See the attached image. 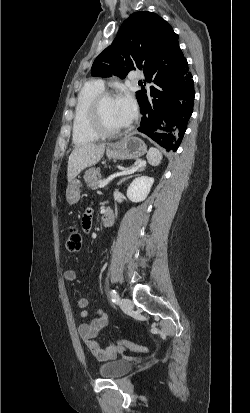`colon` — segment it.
<instances>
[{
    "label": "colon",
    "instance_id": "colon-1",
    "mask_svg": "<svg viewBox=\"0 0 250 413\" xmlns=\"http://www.w3.org/2000/svg\"><path fill=\"white\" fill-rule=\"evenodd\" d=\"M66 248L70 252H77L82 247V234L75 228L71 227L68 229L66 236ZM118 346L123 350H130L137 353H145L148 351V348L144 345H138L131 343L126 340H117Z\"/></svg>",
    "mask_w": 250,
    "mask_h": 413
}]
</instances>
